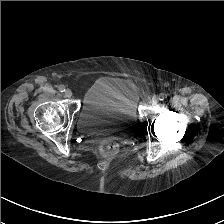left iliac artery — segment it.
Returning <instances> with one entry per match:
<instances>
[{
  "instance_id": "1",
  "label": "left iliac artery",
  "mask_w": 224,
  "mask_h": 224,
  "mask_svg": "<svg viewBox=\"0 0 224 224\" xmlns=\"http://www.w3.org/2000/svg\"><path fill=\"white\" fill-rule=\"evenodd\" d=\"M165 98H166V96L164 94H161L159 97L160 100H164Z\"/></svg>"
}]
</instances>
